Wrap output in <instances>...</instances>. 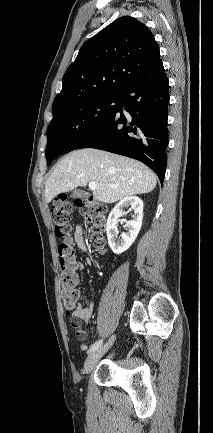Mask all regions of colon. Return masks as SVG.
I'll list each match as a JSON object with an SVG mask.
<instances>
[{
  "mask_svg": "<svg viewBox=\"0 0 213 433\" xmlns=\"http://www.w3.org/2000/svg\"><path fill=\"white\" fill-rule=\"evenodd\" d=\"M74 204L80 209L85 218L89 232L99 251H103V232L106 227V206L96 201L92 197L79 198L75 202L67 199L59 200L51 212L52 222L55 234L58 237H66L70 234L72 228V214ZM60 261V284L61 299L67 312L75 309L79 292L76 289L77 275L74 267V249L69 240L63 241L59 247ZM71 326L78 338L83 335V328L79 320L73 318Z\"/></svg>",
  "mask_w": 213,
  "mask_h": 433,
  "instance_id": "5ec220e1",
  "label": "colon"
}]
</instances>
